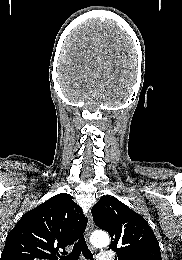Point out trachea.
I'll list each match as a JSON object with an SVG mask.
<instances>
[{
    "instance_id": "1",
    "label": "trachea",
    "mask_w": 182,
    "mask_h": 260,
    "mask_svg": "<svg viewBox=\"0 0 182 260\" xmlns=\"http://www.w3.org/2000/svg\"><path fill=\"white\" fill-rule=\"evenodd\" d=\"M81 253L85 258L93 260V254L88 249L84 236H81L75 243L72 252L67 256L61 257L60 260H78Z\"/></svg>"
}]
</instances>
